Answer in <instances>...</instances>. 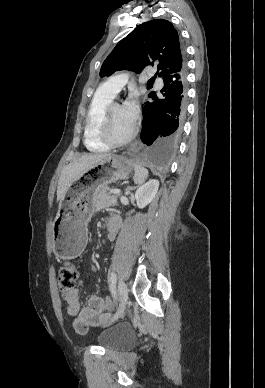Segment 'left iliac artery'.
<instances>
[{
    "label": "left iliac artery",
    "mask_w": 265,
    "mask_h": 388,
    "mask_svg": "<svg viewBox=\"0 0 265 388\" xmlns=\"http://www.w3.org/2000/svg\"><path fill=\"white\" fill-rule=\"evenodd\" d=\"M116 280H117V277H116V274L114 272H111L110 274V291L112 293V295L116 298V291H115V286H116Z\"/></svg>",
    "instance_id": "1"
}]
</instances>
